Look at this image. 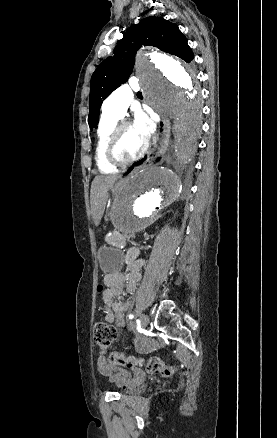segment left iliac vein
Masks as SVG:
<instances>
[{
    "label": "left iliac vein",
    "mask_w": 277,
    "mask_h": 438,
    "mask_svg": "<svg viewBox=\"0 0 277 438\" xmlns=\"http://www.w3.org/2000/svg\"><path fill=\"white\" fill-rule=\"evenodd\" d=\"M140 319H141L142 328L145 329L149 324V317L146 314H142Z\"/></svg>",
    "instance_id": "obj_1"
}]
</instances>
